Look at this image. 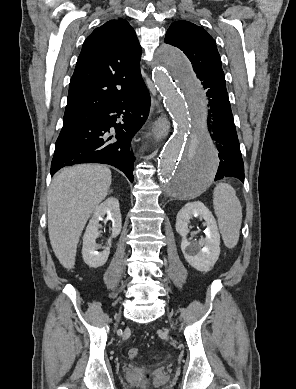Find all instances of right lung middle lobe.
Wrapping results in <instances>:
<instances>
[{"label":"right lung middle lobe","instance_id":"right-lung-middle-lobe-1","mask_svg":"<svg viewBox=\"0 0 296 389\" xmlns=\"http://www.w3.org/2000/svg\"><path fill=\"white\" fill-rule=\"evenodd\" d=\"M76 120H63V127L70 125L71 123L75 122Z\"/></svg>","mask_w":296,"mask_h":389}]
</instances>
